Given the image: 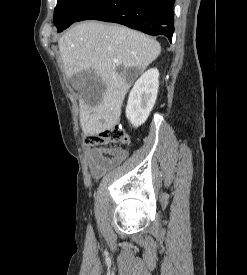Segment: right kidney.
Segmentation results:
<instances>
[{
    "mask_svg": "<svg viewBox=\"0 0 247 275\" xmlns=\"http://www.w3.org/2000/svg\"><path fill=\"white\" fill-rule=\"evenodd\" d=\"M159 71L149 69L141 75L130 91L126 106V117L134 127L143 124L157 98L159 87Z\"/></svg>",
    "mask_w": 247,
    "mask_h": 275,
    "instance_id": "ca27d5eb",
    "label": "right kidney"
}]
</instances>
